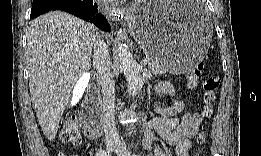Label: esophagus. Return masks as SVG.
Masks as SVG:
<instances>
[{
  "mask_svg": "<svg viewBox=\"0 0 261 156\" xmlns=\"http://www.w3.org/2000/svg\"><path fill=\"white\" fill-rule=\"evenodd\" d=\"M106 14L113 20L123 17V11L119 7L113 6L111 9H105Z\"/></svg>",
  "mask_w": 261,
  "mask_h": 156,
  "instance_id": "34e87169",
  "label": "esophagus"
}]
</instances>
